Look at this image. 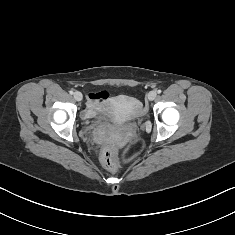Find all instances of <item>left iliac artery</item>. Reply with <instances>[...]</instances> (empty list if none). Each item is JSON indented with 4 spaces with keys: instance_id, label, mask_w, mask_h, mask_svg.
Instances as JSON below:
<instances>
[{
    "instance_id": "44dca946",
    "label": "left iliac artery",
    "mask_w": 235,
    "mask_h": 235,
    "mask_svg": "<svg viewBox=\"0 0 235 235\" xmlns=\"http://www.w3.org/2000/svg\"><path fill=\"white\" fill-rule=\"evenodd\" d=\"M157 93H158V94H160V93H161V90H160V89H159V90H157Z\"/></svg>"
}]
</instances>
